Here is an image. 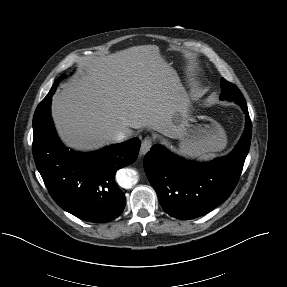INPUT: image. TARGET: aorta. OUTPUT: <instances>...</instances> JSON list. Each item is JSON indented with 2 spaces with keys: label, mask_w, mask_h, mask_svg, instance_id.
Returning <instances> with one entry per match:
<instances>
[{
  "label": "aorta",
  "mask_w": 287,
  "mask_h": 287,
  "mask_svg": "<svg viewBox=\"0 0 287 287\" xmlns=\"http://www.w3.org/2000/svg\"><path fill=\"white\" fill-rule=\"evenodd\" d=\"M119 184L124 188H130L137 179L133 170L120 171L117 176Z\"/></svg>",
  "instance_id": "obj_1"
}]
</instances>
